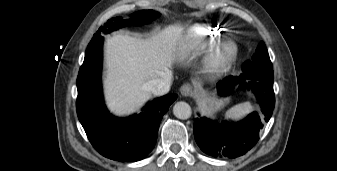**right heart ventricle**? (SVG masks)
I'll return each instance as SVG.
<instances>
[{
  "label": "right heart ventricle",
  "instance_id": "obj_1",
  "mask_svg": "<svg viewBox=\"0 0 337 171\" xmlns=\"http://www.w3.org/2000/svg\"><path fill=\"white\" fill-rule=\"evenodd\" d=\"M223 37V30L215 24H197L187 32L185 49L187 52H202L220 42Z\"/></svg>",
  "mask_w": 337,
  "mask_h": 171
}]
</instances>
